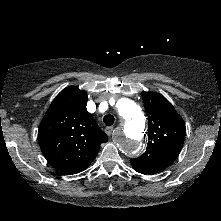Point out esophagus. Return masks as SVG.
Returning a JSON list of instances; mask_svg holds the SVG:
<instances>
[{"label":"esophagus","instance_id":"1","mask_svg":"<svg viewBox=\"0 0 221 221\" xmlns=\"http://www.w3.org/2000/svg\"><path fill=\"white\" fill-rule=\"evenodd\" d=\"M113 130H114V128L112 126L105 128V132L108 136H110L112 134Z\"/></svg>","mask_w":221,"mask_h":221}]
</instances>
